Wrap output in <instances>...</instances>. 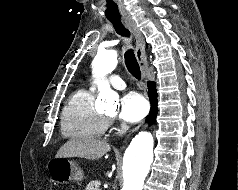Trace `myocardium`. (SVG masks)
I'll use <instances>...</instances> for the list:
<instances>
[{
	"label": "myocardium",
	"instance_id": "myocardium-1",
	"mask_svg": "<svg viewBox=\"0 0 238 190\" xmlns=\"http://www.w3.org/2000/svg\"><path fill=\"white\" fill-rule=\"evenodd\" d=\"M104 117H105L107 120H109V119L112 118V116H110V115H105Z\"/></svg>",
	"mask_w": 238,
	"mask_h": 190
}]
</instances>
